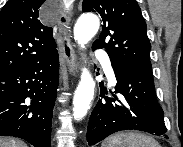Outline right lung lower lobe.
<instances>
[{"label": "right lung lower lobe", "instance_id": "1", "mask_svg": "<svg viewBox=\"0 0 183 147\" xmlns=\"http://www.w3.org/2000/svg\"><path fill=\"white\" fill-rule=\"evenodd\" d=\"M59 56L0 76V136H15L35 147H50Z\"/></svg>", "mask_w": 183, "mask_h": 147}]
</instances>
